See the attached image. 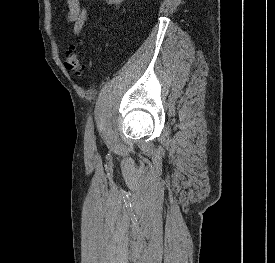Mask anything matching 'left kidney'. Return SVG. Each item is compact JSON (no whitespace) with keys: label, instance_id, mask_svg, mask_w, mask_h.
I'll return each mask as SVG.
<instances>
[{"label":"left kidney","instance_id":"5707ae66","mask_svg":"<svg viewBox=\"0 0 275 263\" xmlns=\"http://www.w3.org/2000/svg\"><path fill=\"white\" fill-rule=\"evenodd\" d=\"M110 2H112V3H120V2H122L123 0H109Z\"/></svg>","mask_w":275,"mask_h":263}]
</instances>
